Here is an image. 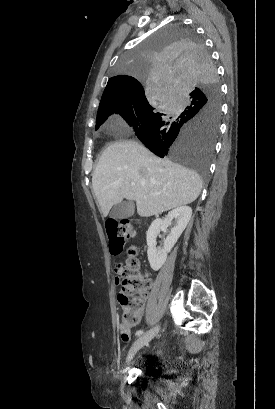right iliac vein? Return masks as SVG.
<instances>
[{"label":"right iliac vein","mask_w":275,"mask_h":409,"mask_svg":"<svg viewBox=\"0 0 275 409\" xmlns=\"http://www.w3.org/2000/svg\"><path fill=\"white\" fill-rule=\"evenodd\" d=\"M160 326H156L150 329L148 332L144 333L141 337H139L131 346L128 355L126 357V363L131 361L135 354L146 344H148L159 332Z\"/></svg>","instance_id":"right-iliac-vein-1"}]
</instances>
